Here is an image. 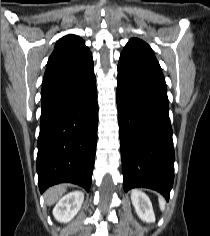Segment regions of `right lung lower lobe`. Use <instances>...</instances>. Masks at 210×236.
Listing matches in <instances>:
<instances>
[{
	"mask_svg": "<svg viewBox=\"0 0 210 236\" xmlns=\"http://www.w3.org/2000/svg\"><path fill=\"white\" fill-rule=\"evenodd\" d=\"M36 169L39 189L70 182L90 189L98 127L93 64L43 84Z\"/></svg>",
	"mask_w": 210,
	"mask_h": 236,
	"instance_id": "1",
	"label": "right lung lower lobe"
}]
</instances>
